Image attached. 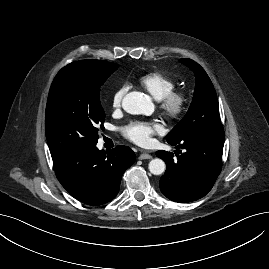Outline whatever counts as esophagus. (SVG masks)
<instances>
[{
	"label": "esophagus",
	"mask_w": 269,
	"mask_h": 269,
	"mask_svg": "<svg viewBox=\"0 0 269 269\" xmlns=\"http://www.w3.org/2000/svg\"><path fill=\"white\" fill-rule=\"evenodd\" d=\"M138 158L140 160H146V159H151L152 156L150 154H148L147 152H143L142 154H140V156Z\"/></svg>",
	"instance_id": "esophagus-1"
}]
</instances>
